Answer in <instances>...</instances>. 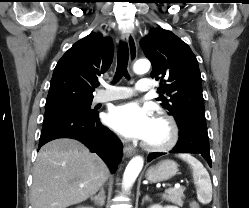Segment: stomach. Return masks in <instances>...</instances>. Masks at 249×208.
I'll use <instances>...</instances> for the list:
<instances>
[{
    "instance_id": "0dacf381",
    "label": "stomach",
    "mask_w": 249,
    "mask_h": 208,
    "mask_svg": "<svg viewBox=\"0 0 249 208\" xmlns=\"http://www.w3.org/2000/svg\"><path fill=\"white\" fill-rule=\"evenodd\" d=\"M178 172V165L173 160H163L157 165L150 167L145 174L146 179L151 183L166 181Z\"/></svg>"
}]
</instances>
